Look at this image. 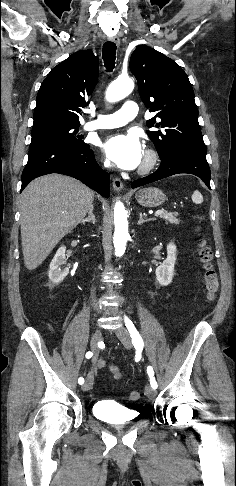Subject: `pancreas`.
Here are the masks:
<instances>
[{
	"label": "pancreas",
	"instance_id": "obj_1",
	"mask_svg": "<svg viewBox=\"0 0 236 486\" xmlns=\"http://www.w3.org/2000/svg\"><path fill=\"white\" fill-rule=\"evenodd\" d=\"M177 213H162L160 217L164 219L167 223L176 224L180 223V220L176 217Z\"/></svg>",
	"mask_w": 236,
	"mask_h": 486
}]
</instances>
